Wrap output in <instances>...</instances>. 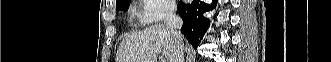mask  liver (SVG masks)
<instances>
[{
    "label": "liver",
    "instance_id": "1",
    "mask_svg": "<svg viewBox=\"0 0 331 62\" xmlns=\"http://www.w3.org/2000/svg\"><path fill=\"white\" fill-rule=\"evenodd\" d=\"M163 48L167 62H175L171 32L165 25L155 24L127 35L120 43L115 62H157Z\"/></svg>",
    "mask_w": 331,
    "mask_h": 62
}]
</instances>
